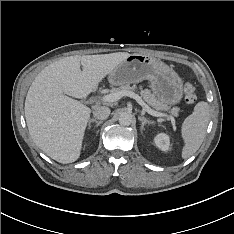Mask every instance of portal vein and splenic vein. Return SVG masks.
Returning <instances> with one entry per match:
<instances>
[{
	"mask_svg": "<svg viewBox=\"0 0 234 234\" xmlns=\"http://www.w3.org/2000/svg\"><path fill=\"white\" fill-rule=\"evenodd\" d=\"M123 96H128L130 98L135 99L137 103L140 104L142 108L150 115L155 116V117L168 118L171 120L172 124L175 125L174 118L172 115L154 111L142 100V98L138 94L134 92H131V91L111 92L110 94L104 95L101 100L104 102H115L121 99Z\"/></svg>",
	"mask_w": 234,
	"mask_h": 234,
	"instance_id": "portal-vein-and-splenic-vein-1",
	"label": "portal vein and splenic vein"
}]
</instances>
